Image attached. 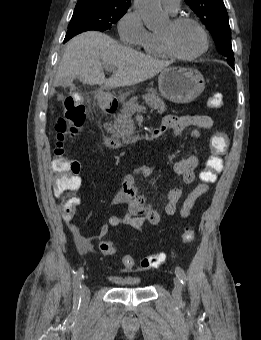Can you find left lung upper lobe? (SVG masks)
I'll return each mask as SVG.
<instances>
[{
	"label": "left lung upper lobe",
	"mask_w": 261,
	"mask_h": 340,
	"mask_svg": "<svg viewBox=\"0 0 261 340\" xmlns=\"http://www.w3.org/2000/svg\"><path fill=\"white\" fill-rule=\"evenodd\" d=\"M211 33L218 51L234 63L231 31L223 0H185Z\"/></svg>",
	"instance_id": "1"
}]
</instances>
